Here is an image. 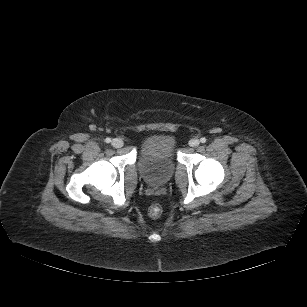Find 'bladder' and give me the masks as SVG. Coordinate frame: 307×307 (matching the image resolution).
I'll list each match as a JSON object with an SVG mask.
<instances>
[{
	"mask_svg": "<svg viewBox=\"0 0 307 307\" xmlns=\"http://www.w3.org/2000/svg\"><path fill=\"white\" fill-rule=\"evenodd\" d=\"M175 138L167 133L147 136L138 151V164L143 179L152 185L167 182L176 166Z\"/></svg>",
	"mask_w": 307,
	"mask_h": 307,
	"instance_id": "1",
	"label": "bladder"
}]
</instances>
